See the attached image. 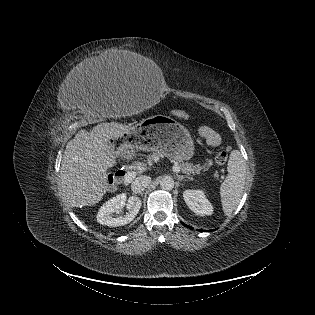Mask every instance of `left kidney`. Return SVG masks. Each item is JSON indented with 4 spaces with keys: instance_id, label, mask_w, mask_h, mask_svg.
Here are the masks:
<instances>
[{
    "instance_id": "obj_1",
    "label": "left kidney",
    "mask_w": 315,
    "mask_h": 315,
    "mask_svg": "<svg viewBox=\"0 0 315 315\" xmlns=\"http://www.w3.org/2000/svg\"><path fill=\"white\" fill-rule=\"evenodd\" d=\"M185 203L191 211L199 216H208L213 212V206L202 190H186L183 193Z\"/></svg>"
}]
</instances>
